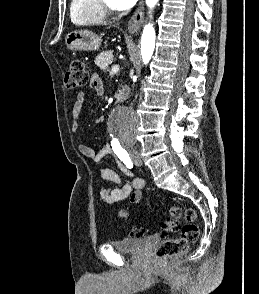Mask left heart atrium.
<instances>
[{"label": "left heart atrium", "instance_id": "39dd6f15", "mask_svg": "<svg viewBox=\"0 0 259 294\" xmlns=\"http://www.w3.org/2000/svg\"><path fill=\"white\" fill-rule=\"evenodd\" d=\"M114 7L120 10H126L135 5L137 0H113Z\"/></svg>", "mask_w": 259, "mask_h": 294}]
</instances>
